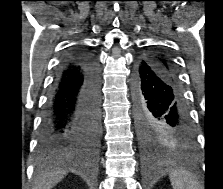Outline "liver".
Listing matches in <instances>:
<instances>
[{
  "label": "liver",
  "instance_id": "6515ba94",
  "mask_svg": "<svg viewBox=\"0 0 223 189\" xmlns=\"http://www.w3.org/2000/svg\"><path fill=\"white\" fill-rule=\"evenodd\" d=\"M66 175L65 170H53L37 176L33 189H50L59 183Z\"/></svg>",
  "mask_w": 223,
  "mask_h": 189
}]
</instances>
